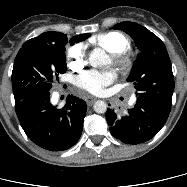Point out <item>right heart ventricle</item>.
Returning <instances> with one entry per match:
<instances>
[{
	"instance_id": "e07e8e85",
	"label": "right heart ventricle",
	"mask_w": 187,
	"mask_h": 187,
	"mask_svg": "<svg viewBox=\"0 0 187 187\" xmlns=\"http://www.w3.org/2000/svg\"><path fill=\"white\" fill-rule=\"evenodd\" d=\"M94 42L111 54L125 53L130 48L128 38L119 32H107L95 37Z\"/></svg>"
}]
</instances>
